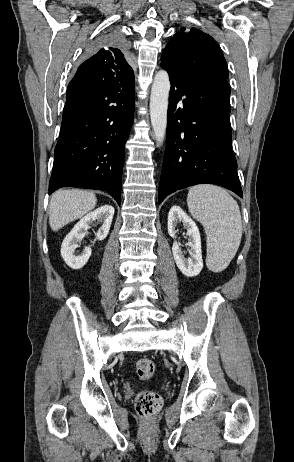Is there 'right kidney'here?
I'll use <instances>...</instances> for the list:
<instances>
[{
    "mask_svg": "<svg viewBox=\"0 0 294 462\" xmlns=\"http://www.w3.org/2000/svg\"><path fill=\"white\" fill-rule=\"evenodd\" d=\"M111 205H104L84 216L66 235L61 245V256L65 263L72 269H81L91 256V247H86L80 255L75 254L78 242L86 235L87 230L94 221L102 222V226L96 233V240H104L110 230L114 215Z\"/></svg>",
    "mask_w": 294,
    "mask_h": 462,
    "instance_id": "right-kidney-1",
    "label": "right kidney"
}]
</instances>
